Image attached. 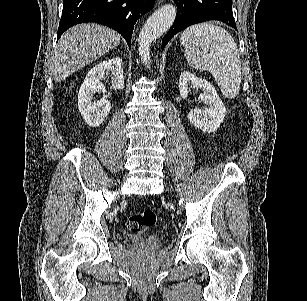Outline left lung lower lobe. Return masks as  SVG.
<instances>
[{
  "instance_id": "0a47b994",
  "label": "left lung lower lobe",
  "mask_w": 307,
  "mask_h": 301,
  "mask_svg": "<svg viewBox=\"0 0 307 301\" xmlns=\"http://www.w3.org/2000/svg\"><path fill=\"white\" fill-rule=\"evenodd\" d=\"M178 7L176 19L162 40V49L168 41L186 27L209 20H220L235 28L232 0H173Z\"/></svg>"
}]
</instances>
